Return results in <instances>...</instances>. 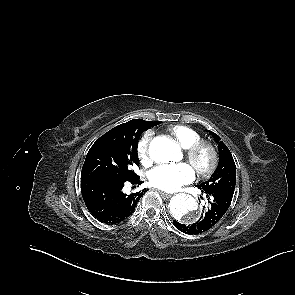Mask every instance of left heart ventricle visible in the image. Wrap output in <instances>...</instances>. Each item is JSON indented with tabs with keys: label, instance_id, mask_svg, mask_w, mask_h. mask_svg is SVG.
Instances as JSON below:
<instances>
[{
	"label": "left heart ventricle",
	"instance_id": "obj_1",
	"mask_svg": "<svg viewBox=\"0 0 295 295\" xmlns=\"http://www.w3.org/2000/svg\"><path fill=\"white\" fill-rule=\"evenodd\" d=\"M208 162H209V155H208V153L203 152V153L199 156V158H198V160H197V164L200 165V166H206V165L208 164ZM193 167H194V166H193Z\"/></svg>",
	"mask_w": 295,
	"mask_h": 295
}]
</instances>
